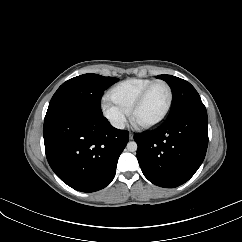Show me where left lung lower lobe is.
Instances as JSON below:
<instances>
[{
  "label": "left lung lower lobe",
  "mask_w": 242,
  "mask_h": 242,
  "mask_svg": "<svg viewBox=\"0 0 242 242\" xmlns=\"http://www.w3.org/2000/svg\"><path fill=\"white\" fill-rule=\"evenodd\" d=\"M137 158L153 184L173 188L188 181L202 164L208 146L205 106L185 109L157 129L134 135Z\"/></svg>",
  "instance_id": "obj_1"
}]
</instances>
